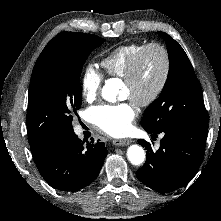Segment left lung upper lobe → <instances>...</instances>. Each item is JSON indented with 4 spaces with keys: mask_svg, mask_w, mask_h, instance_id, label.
<instances>
[{
    "mask_svg": "<svg viewBox=\"0 0 221 221\" xmlns=\"http://www.w3.org/2000/svg\"><path fill=\"white\" fill-rule=\"evenodd\" d=\"M166 41L169 73L159 98L151 103L141 120L148 133H160L175 122L200 123L208 118L201 85L186 53L165 32H158Z\"/></svg>",
    "mask_w": 221,
    "mask_h": 221,
    "instance_id": "5c2ea615",
    "label": "left lung upper lobe"
}]
</instances>
